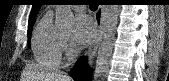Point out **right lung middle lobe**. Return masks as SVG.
I'll return each instance as SVG.
<instances>
[{
  "instance_id": "right-lung-middle-lobe-1",
  "label": "right lung middle lobe",
  "mask_w": 169,
  "mask_h": 81,
  "mask_svg": "<svg viewBox=\"0 0 169 81\" xmlns=\"http://www.w3.org/2000/svg\"><path fill=\"white\" fill-rule=\"evenodd\" d=\"M33 24H34V21H33V22L28 23V38H29V40H30L31 30H32V26H33ZM28 43H29V41H28Z\"/></svg>"
}]
</instances>
